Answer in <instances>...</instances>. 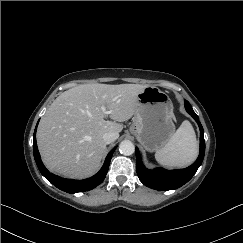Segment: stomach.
<instances>
[{
  "mask_svg": "<svg viewBox=\"0 0 243 243\" xmlns=\"http://www.w3.org/2000/svg\"><path fill=\"white\" fill-rule=\"evenodd\" d=\"M137 99L130 133L147 151H157L174 134L173 103L165 92L154 86H146Z\"/></svg>",
  "mask_w": 243,
  "mask_h": 243,
  "instance_id": "obj_1",
  "label": "stomach"
}]
</instances>
